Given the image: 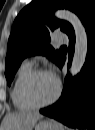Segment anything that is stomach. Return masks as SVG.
Wrapping results in <instances>:
<instances>
[{
  "label": "stomach",
  "instance_id": "0dacf381",
  "mask_svg": "<svg viewBox=\"0 0 95 130\" xmlns=\"http://www.w3.org/2000/svg\"><path fill=\"white\" fill-rule=\"evenodd\" d=\"M34 130H63V128L58 122L48 119L38 122Z\"/></svg>",
  "mask_w": 95,
  "mask_h": 130
}]
</instances>
